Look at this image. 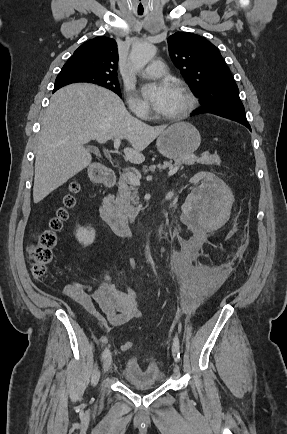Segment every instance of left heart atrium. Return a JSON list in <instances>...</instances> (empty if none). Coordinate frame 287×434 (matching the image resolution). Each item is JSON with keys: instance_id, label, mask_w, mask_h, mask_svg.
Masks as SVG:
<instances>
[{"instance_id": "1", "label": "left heart atrium", "mask_w": 287, "mask_h": 434, "mask_svg": "<svg viewBox=\"0 0 287 434\" xmlns=\"http://www.w3.org/2000/svg\"><path fill=\"white\" fill-rule=\"evenodd\" d=\"M173 92L174 86L169 83H152L142 88L144 97L160 113L168 106Z\"/></svg>"}]
</instances>
